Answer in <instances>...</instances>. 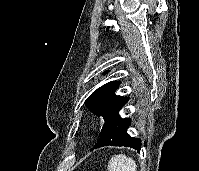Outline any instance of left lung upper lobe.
Listing matches in <instances>:
<instances>
[{
  "instance_id": "left-lung-upper-lobe-1",
  "label": "left lung upper lobe",
  "mask_w": 199,
  "mask_h": 171,
  "mask_svg": "<svg viewBox=\"0 0 199 171\" xmlns=\"http://www.w3.org/2000/svg\"><path fill=\"white\" fill-rule=\"evenodd\" d=\"M118 88V81L104 84L87 98L85 101L86 107L94 114L100 115L104 120H107L128 99V97L115 94Z\"/></svg>"
}]
</instances>
